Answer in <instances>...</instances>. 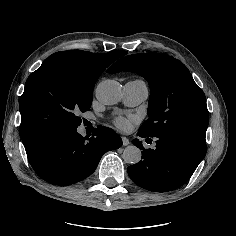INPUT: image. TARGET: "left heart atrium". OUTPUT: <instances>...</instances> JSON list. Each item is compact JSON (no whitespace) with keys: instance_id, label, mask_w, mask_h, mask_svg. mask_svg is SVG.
Wrapping results in <instances>:
<instances>
[{"instance_id":"1","label":"left heart atrium","mask_w":236,"mask_h":236,"mask_svg":"<svg viewBox=\"0 0 236 236\" xmlns=\"http://www.w3.org/2000/svg\"><path fill=\"white\" fill-rule=\"evenodd\" d=\"M136 120L135 117H130L129 119L126 118H117L116 119V125L119 129L127 131L130 128V122Z\"/></svg>"}]
</instances>
